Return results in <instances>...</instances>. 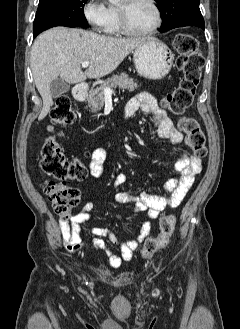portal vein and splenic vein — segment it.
Listing matches in <instances>:
<instances>
[{
    "instance_id": "obj_1",
    "label": "portal vein and splenic vein",
    "mask_w": 240,
    "mask_h": 329,
    "mask_svg": "<svg viewBox=\"0 0 240 329\" xmlns=\"http://www.w3.org/2000/svg\"><path fill=\"white\" fill-rule=\"evenodd\" d=\"M90 64H91V62H89V61H84V62L82 63V67H83V68H87ZM112 94H113V90H112V89H110V88H108V87L104 88V95H105V96H111Z\"/></svg>"
}]
</instances>
